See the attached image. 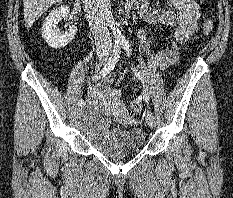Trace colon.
Masks as SVG:
<instances>
[{
  "label": "colon",
  "instance_id": "1",
  "mask_svg": "<svg viewBox=\"0 0 233 198\" xmlns=\"http://www.w3.org/2000/svg\"><path fill=\"white\" fill-rule=\"evenodd\" d=\"M213 30V22L211 19H206L202 25V31L205 35H209ZM143 108V99L138 97L131 101L130 110L133 115H138L142 111Z\"/></svg>",
  "mask_w": 233,
  "mask_h": 198
}]
</instances>
